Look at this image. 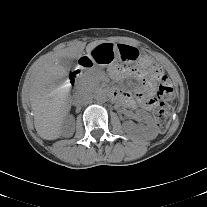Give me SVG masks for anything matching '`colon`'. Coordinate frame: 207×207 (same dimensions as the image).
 <instances>
[{"label": "colon", "mask_w": 207, "mask_h": 207, "mask_svg": "<svg viewBox=\"0 0 207 207\" xmlns=\"http://www.w3.org/2000/svg\"><path fill=\"white\" fill-rule=\"evenodd\" d=\"M149 71L152 75L157 76L161 73L162 68L159 64L154 63L150 66ZM175 96V90L171 81L163 76L156 90V99L160 102L154 111L155 120L157 126L161 132H165L171 122L172 109L166 103Z\"/></svg>", "instance_id": "obj_1"}]
</instances>
